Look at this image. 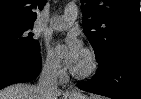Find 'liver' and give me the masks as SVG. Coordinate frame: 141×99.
Listing matches in <instances>:
<instances>
[{"mask_svg":"<svg viewBox=\"0 0 141 99\" xmlns=\"http://www.w3.org/2000/svg\"><path fill=\"white\" fill-rule=\"evenodd\" d=\"M60 90L45 94L31 84L17 83L0 90V99H58Z\"/></svg>","mask_w":141,"mask_h":99,"instance_id":"liver-1","label":"liver"}]
</instances>
